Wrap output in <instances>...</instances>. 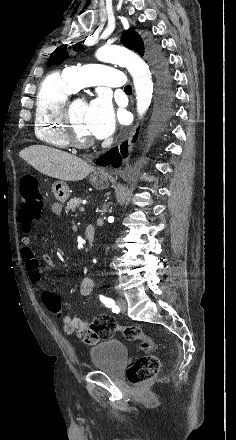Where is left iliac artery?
<instances>
[{
	"instance_id": "left-iliac-artery-1",
	"label": "left iliac artery",
	"mask_w": 236,
	"mask_h": 440,
	"mask_svg": "<svg viewBox=\"0 0 236 440\" xmlns=\"http://www.w3.org/2000/svg\"><path fill=\"white\" fill-rule=\"evenodd\" d=\"M99 298H100L101 302H103L106 305V307L112 308V311L114 313L119 312V308L117 307V305L115 304V301L113 299L105 297L103 295H99Z\"/></svg>"
}]
</instances>
